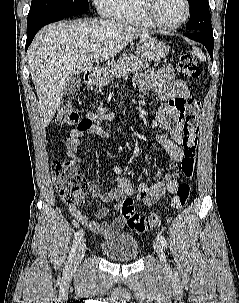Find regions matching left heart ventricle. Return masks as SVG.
Listing matches in <instances>:
<instances>
[{
  "label": "left heart ventricle",
  "mask_w": 239,
  "mask_h": 303,
  "mask_svg": "<svg viewBox=\"0 0 239 303\" xmlns=\"http://www.w3.org/2000/svg\"><path fill=\"white\" fill-rule=\"evenodd\" d=\"M185 4L183 0H156L154 16L164 24L179 22L185 15Z\"/></svg>",
  "instance_id": "b2bd125f"
}]
</instances>
